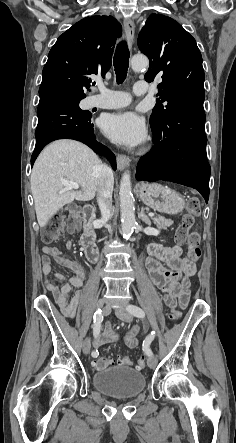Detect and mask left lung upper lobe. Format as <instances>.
Segmentation results:
<instances>
[{
  "instance_id": "left-lung-upper-lobe-1",
  "label": "left lung upper lobe",
  "mask_w": 236,
  "mask_h": 443,
  "mask_svg": "<svg viewBox=\"0 0 236 443\" xmlns=\"http://www.w3.org/2000/svg\"><path fill=\"white\" fill-rule=\"evenodd\" d=\"M138 47L150 61L145 80L162 76L157 101L150 117L151 126H160L168 112L185 104L204 102V69L195 39L175 20L152 14L138 37Z\"/></svg>"
}]
</instances>
